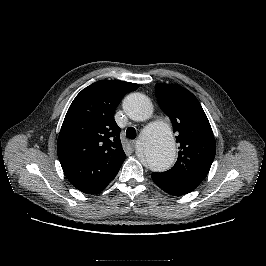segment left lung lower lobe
Here are the masks:
<instances>
[{
	"mask_svg": "<svg viewBox=\"0 0 266 266\" xmlns=\"http://www.w3.org/2000/svg\"><path fill=\"white\" fill-rule=\"evenodd\" d=\"M152 179L154 183L160 187L163 191L170 195L180 196L193 191L195 188L181 184L173 179H170L161 173H152Z\"/></svg>",
	"mask_w": 266,
	"mask_h": 266,
	"instance_id": "0a47b994",
	"label": "left lung lower lobe"
}]
</instances>
